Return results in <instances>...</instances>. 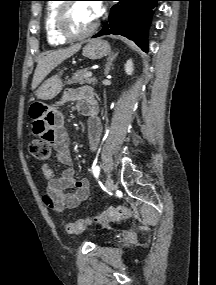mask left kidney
Returning a JSON list of instances; mask_svg holds the SVG:
<instances>
[{"mask_svg":"<svg viewBox=\"0 0 216 285\" xmlns=\"http://www.w3.org/2000/svg\"><path fill=\"white\" fill-rule=\"evenodd\" d=\"M134 71V68H133V62L131 59H129L127 61V63L125 64V72L128 74V75H132Z\"/></svg>","mask_w":216,"mask_h":285,"instance_id":"left-kidney-1","label":"left kidney"}]
</instances>
